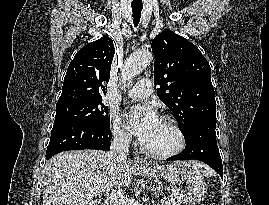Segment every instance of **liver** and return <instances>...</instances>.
<instances>
[{
	"mask_svg": "<svg viewBox=\"0 0 269 205\" xmlns=\"http://www.w3.org/2000/svg\"><path fill=\"white\" fill-rule=\"evenodd\" d=\"M197 173H208L204 164L176 162ZM134 166L125 162L120 167L113 165L108 152L78 150L62 152L47 163L43 182V205H97L90 189H100L110 194L117 185L128 186L132 181Z\"/></svg>",
	"mask_w": 269,
	"mask_h": 205,
	"instance_id": "obj_1",
	"label": "liver"
}]
</instances>
